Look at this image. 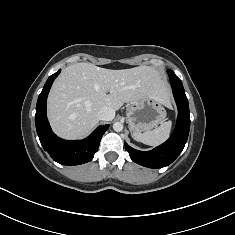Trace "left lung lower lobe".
<instances>
[{
  "instance_id": "0a47b994",
  "label": "left lung lower lobe",
  "mask_w": 235,
  "mask_h": 235,
  "mask_svg": "<svg viewBox=\"0 0 235 235\" xmlns=\"http://www.w3.org/2000/svg\"><path fill=\"white\" fill-rule=\"evenodd\" d=\"M174 98L178 107V118L176 128L171 137L162 145L151 151H138L125 143L131 159L145 167L162 168L171 164L183 150L190 129V115L188 99L181 80L173 71H167Z\"/></svg>"
}]
</instances>
